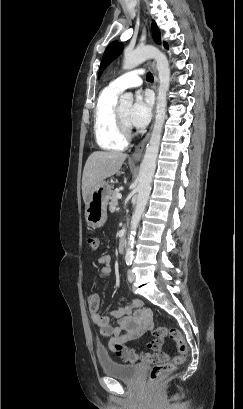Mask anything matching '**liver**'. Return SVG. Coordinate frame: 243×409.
Returning <instances> with one entry per match:
<instances>
[{
    "instance_id": "1",
    "label": "liver",
    "mask_w": 243,
    "mask_h": 409,
    "mask_svg": "<svg viewBox=\"0 0 243 409\" xmlns=\"http://www.w3.org/2000/svg\"><path fill=\"white\" fill-rule=\"evenodd\" d=\"M126 158V153L115 151H95L88 157L82 176L84 202L95 187L120 170Z\"/></svg>"
}]
</instances>
